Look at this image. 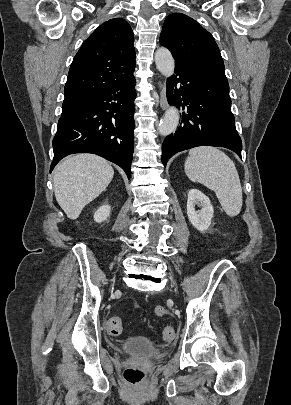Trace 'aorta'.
<instances>
[{
	"mask_svg": "<svg viewBox=\"0 0 291 405\" xmlns=\"http://www.w3.org/2000/svg\"><path fill=\"white\" fill-rule=\"evenodd\" d=\"M155 63L162 75L165 77H171L173 75L175 62L171 52L167 48L161 47L155 52ZM179 118L177 108L170 106L158 126L159 133L163 136H167L174 132L178 126Z\"/></svg>",
	"mask_w": 291,
	"mask_h": 405,
	"instance_id": "762f6f07",
	"label": "aorta"
}]
</instances>
